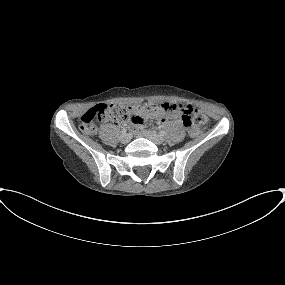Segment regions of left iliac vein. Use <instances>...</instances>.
Returning <instances> with one entry per match:
<instances>
[{"label":"left iliac vein","instance_id":"left-iliac-vein-1","mask_svg":"<svg viewBox=\"0 0 285 285\" xmlns=\"http://www.w3.org/2000/svg\"><path fill=\"white\" fill-rule=\"evenodd\" d=\"M143 135L157 145L162 144L164 142V138L153 131L146 130L143 132Z\"/></svg>","mask_w":285,"mask_h":285}]
</instances>
